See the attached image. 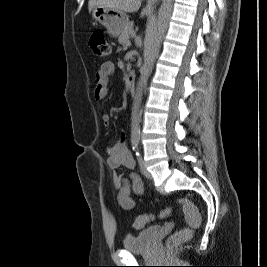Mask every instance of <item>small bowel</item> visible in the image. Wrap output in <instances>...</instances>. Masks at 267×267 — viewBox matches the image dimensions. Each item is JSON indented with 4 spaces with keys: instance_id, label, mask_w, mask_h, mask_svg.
Returning <instances> with one entry per match:
<instances>
[{
    "instance_id": "c3829d8e",
    "label": "small bowel",
    "mask_w": 267,
    "mask_h": 267,
    "mask_svg": "<svg viewBox=\"0 0 267 267\" xmlns=\"http://www.w3.org/2000/svg\"><path fill=\"white\" fill-rule=\"evenodd\" d=\"M114 65L111 62H104L95 75L94 99L101 102L107 95L109 78L113 74ZM102 123L105 127L110 125V116L102 115ZM108 155L107 163L110 169L114 172L113 184L118 190L117 200L121 208L131 210L135 201L131 197V193L137 195L144 194V186L141 178L133 172L135 161L128 150L124 137L119 138L115 143L106 148ZM120 170L128 172L125 177Z\"/></svg>"
}]
</instances>
